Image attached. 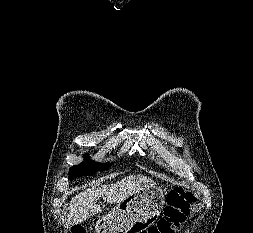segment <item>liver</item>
I'll use <instances>...</instances> for the list:
<instances>
[{
    "label": "liver",
    "mask_w": 253,
    "mask_h": 233,
    "mask_svg": "<svg viewBox=\"0 0 253 233\" xmlns=\"http://www.w3.org/2000/svg\"><path fill=\"white\" fill-rule=\"evenodd\" d=\"M152 186H155V182L151 178L136 174L110 185L88 188L72 198L68 207L67 224L69 226L80 224L100 213L102 208L96 205L100 197L109 204L120 203L136 191Z\"/></svg>",
    "instance_id": "obj_1"
}]
</instances>
